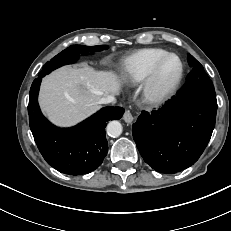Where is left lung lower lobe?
I'll list each match as a JSON object with an SVG mask.
<instances>
[{"instance_id":"obj_1","label":"left lung lower lobe","mask_w":231,"mask_h":231,"mask_svg":"<svg viewBox=\"0 0 231 231\" xmlns=\"http://www.w3.org/2000/svg\"><path fill=\"white\" fill-rule=\"evenodd\" d=\"M216 95L177 92L159 110L142 111L132 127L144 161L172 174L193 165L206 148L217 112Z\"/></svg>"}]
</instances>
